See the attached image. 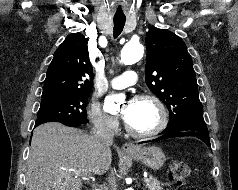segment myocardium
Listing matches in <instances>:
<instances>
[{
  "label": "myocardium",
  "instance_id": "f54148a6",
  "mask_svg": "<svg viewBox=\"0 0 238 190\" xmlns=\"http://www.w3.org/2000/svg\"><path fill=\"white\" fill-rule=\"evenodd\" d=\"M135 100H143L151 102L157 109L158 112V123L149 131H136L125 122L124 127L129 135L138 139H148L159 135L168 124V113L163 102L155 95L151 93H140L135 96Z\"/></svg>",
  "mask_w": 238,
  "mask_h": 190
}]
</instances>
